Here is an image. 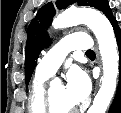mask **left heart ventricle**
I'll list each match as a JSON object with an SVG mask.
<instances>
[{"instance_id":"1","label":"left heart ventricle","mask_w":121,"mask_h":113,"mask_svg":"<svg viewBox=\"0 0 121 113\" xmlns=\"http://www.w3.org/2000/svg\"><path fill=\"white\" fill-rule=\"evenodd\" d=\"M51 96L55 111L65 113L74 108V103L70 100L65 87L56 84L51 88Z\"/></svg>"}]
</instances>
